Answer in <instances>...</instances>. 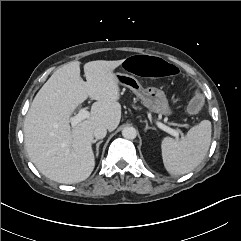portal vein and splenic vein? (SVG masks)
Returning <instances> with one entry per match:
<instances>
[{
  "label": "portal vein and splenic vein",
  "mask_w": 241,
  "mask_h": 241,
  "mask_svg": "<svg viewBox=\"0 0 241 241\" xmlns=\"http://www.w3.org/2000/svg\"><path fill=\"white\" fill-rule=\"evenodd\" d=\"M89 116H90V113L87 111V109L85 107L81 108L80 111L78 112V114L71 117V119H70L72 127L77 126L81 121L89 118ZM156 124L163 131L169 133L170 135H172L176 138H179V131L178 130L172 129V128L166 126L165 124H163L161 122H157Z\"/></svg>",
  "instance_id": "portal-vein-and-splenic-vein-1"
}]
</instances>
